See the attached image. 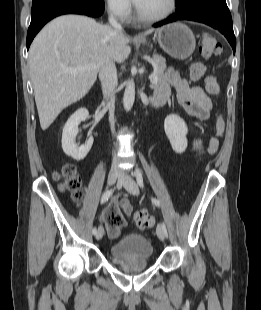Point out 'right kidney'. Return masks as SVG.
Listing matches in <instances>:
<instances>
[{
	"instance_id": "obj_1",
	"label": "right kidney",
	"mask_w": 261,
	"mask_h": 310,
	"mask_svg": "<svg viewBox=\"0 0 261 310\" xmlns=\"http://www.w3.org/2000/svg\"><path fill=\"white\" fill-rule=\"evenodd\" d=\"M89 116L86 108L78 109L66 122L62 133V149L64 153L77 161L83 160L93 145L91 136L85 144L78 147L75 144V138L78 134V125Z\"/></svg>"
}]
</instances>
